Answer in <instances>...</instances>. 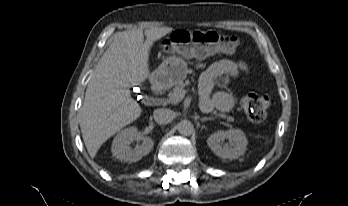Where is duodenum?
<instances>
[{
    "label": "duodenum",
    "mask_w": 348,
    "mask_h": 206,
    "mask_svg": "<svg viewBox=\"0 0 348 206\" xmlns=\"http://www.w3.org/2000/svg\"><path fill=\"white\" fill-rule=\"evenodd\" d=\"M152 83H153V89H154L155 91H158V90L161 89V87L157 84V79H156V78H153V79H152Z\"/></svg>",
    "instance_id": "1"
}]
</instances>
